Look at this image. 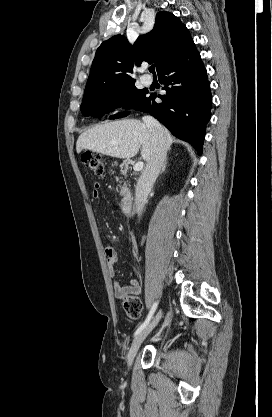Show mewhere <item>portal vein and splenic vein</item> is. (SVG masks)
I'll return each instance as SVG.
<instances>
[{
  "label": "portal vein and splenic vein",
  "instance_id": "1",
  "mask_svg": "<svg viewBox=\"0 0 272 417\" xmlns=\"http://www.w3.org/2000/svg\"><path fill=\"white\" fill-rule=\"evenodd\" d=\"M143 167H144V163L142 161H140V162H137L133 166V169H134V171L138 172V171H141L143 169Z\"/></svg>",
  "mask_w": 272,
  "mask_h": 417
}]
</instances>
